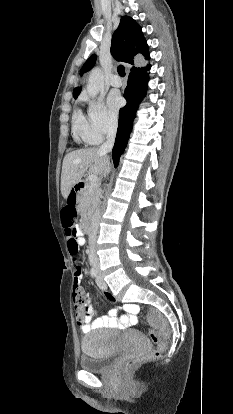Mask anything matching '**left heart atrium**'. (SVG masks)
<instances>
[{"instance_id":"1","label":"left heart atrium","mask_w":233,"mask_h":414,"mask_svg":"<svg viewBox=\"0 0 233 414\" xmlns=\"http://www.w3.org/2000/svg\"><path fill=\"white\" fill-rule=\"evenodd\" d=\"M108 105L113 112H117L123 105V98L118 92H111L107 98Z\"/></svg>"}]
</instances>
